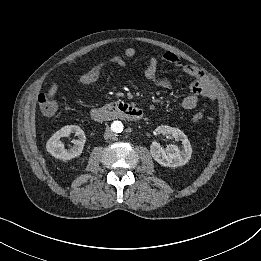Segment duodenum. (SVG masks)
Wrapping results in <instances>:
<instances>
[{"instance_id":"duodenum-1","label":"duodenum","mask_w":261,"mask_h":261,"mask_svg":"<svg viewBox=\"0 0 261 261\" xmlns=\"http://www.w3.org/2000/svg\"><path fill=\"white\" fill-rule=\"evenodd\" d=\"M142 112L128 103H118L115 105L94 108L91 110V117L96 121L126 119L137 121L141 118Z\"/></svg>"}]
</instances>
